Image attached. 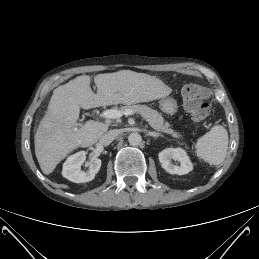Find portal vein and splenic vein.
<instances>
[{
  "mask_svg": "<svg viewBox=\"0 0 259 259\" xmlns=\"http://www.w3.org/2000/svg\"><path fill=\"white\" fill-rule=\"evenodd\" d=\"M134 111L132 110H126V111H120L116 109H108L102 112L101 116L103 118H108V119H118L122 117L123 115H133Z\"/></svg>",
  "mask_w": 259,
  "mask_h": 259,
  "instance_id": "obj_1",
  "label": "portal vein and splenic vein"
}]
</instances>
